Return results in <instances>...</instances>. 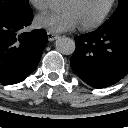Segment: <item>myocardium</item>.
Returning a JSON list of instances; mask_svg holds the SVG:
<instances>
[{
  "label": "myocardium",
  "mask_w": 128,
  "mask_h": 128,
  "mask_svg": "<svg viewBox=\"0 0 128 128\" xmlns=\"http://www.w3.org/2000/svg\"><path fill=\"white\" fill-rule=\"evenodd\" d=\"M116 1L117 0H110L105 10L95 21L88 23V24H81L80 28L86 31V30H93L101 26L106 21L110 13L112 12L116 4Z\"/></svg>",
  "instance_id": "obj_1"
}]
</instances>
